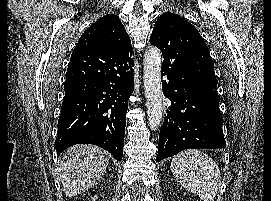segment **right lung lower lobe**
Masks as SVG:
<instances>
[{
    "label": "right lung lower lobe",
    "mask_w": 271,
    "mask_h": 201,
    "mask_svg": "<svg viewBox=\"0 0 271 201\" xmlns=\"http://www.w3.org/2000/svg\"><path fill=\"white\" fill-rule=\"evenodd\" d=\"M133 66L132 59L113 51L75 47L58 120V155L72 145L93 144L122 159L128 100L134 90Z\"/></svg>",
    "instance_id": "98d812e1"
}]
</instances>
